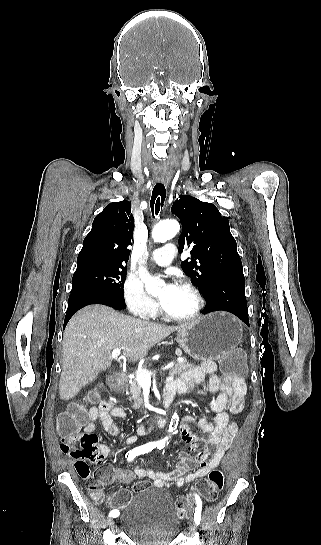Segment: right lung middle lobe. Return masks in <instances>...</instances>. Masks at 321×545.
<instances>
[{
    "label": "right lung middle lobe",
    "instance_id": "dd1d6c3e",
    "mask_svg": "<svg viewBox=\"0 0 321 545\" xmlns=\"http://www.w3.org/2000/svg\"><path fill=\"white\" fill-rule=\"evenodd\" d=\"M126 274L124 266L88 265L77 268L72 278L71 293L86 290L124 298Z\"/></svg>",
    "mask_w": 321,
    "mask_h": 545
}]
</instances>
